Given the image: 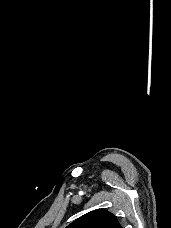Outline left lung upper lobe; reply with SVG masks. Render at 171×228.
Here are the masks:
<instances>
[{"instance_id":"obj_1","label":"left lung upper lobe","mask_w":171,"mask_h":228,"mask_svg":"<svg viewBox=\"0 0 171 228\" xmlns=\"http://www.w3.org/2000/svg\"><path fill=\"white\" fill-rule=\"evenodd\" d=\"M66 228H122V226L114 214L99 209L81 216Z\"/></svg>"}]
</instances>
